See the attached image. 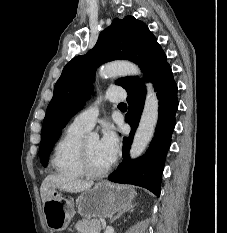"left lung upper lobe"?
<instances>
[{
	"label": "left lung upper lobe",
	"instance_id": "5c2ea615",
	"mask_svg": "<svg viewBox=\"0 0 227 233\" xmlns=\"http://www.w3.org/2000/svg\"><path fill=\"white\" fill-rule=\"evenodd\" d=\"M116 59L135 62L153 83L169 66L164 51L145 23L133 16L114 19L100 33L92 50L73 58L64 67L55 84L42 127L40 160L44 166L62 129L91 95L96 68L103 62ZM115 84L122 86L128 93L145 89L138 77L119 78Z\"/></svg>",
	"mask_w": 227,
	"mask_h": 233
}]
</instances>
